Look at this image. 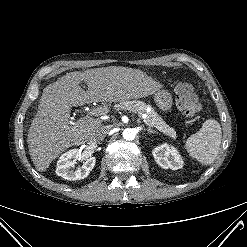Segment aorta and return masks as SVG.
Listing matches in <instances>:
<instances>
[{
    "instance_id": "1",
    "label": "aorta",
    "mask_w": 247,
    "mask_h": 247,
    "mask_svg": "<svg viewBox=\"0 0 247 247\" xmlns=\"http://www.w3.org/2000/svg\"><path fill=\"white\" fill-rule=\"evenodd\" d=\"M122 135L125 140L130 141V140H134L136 133L132 128H126L124 129Z\"/></svg>"
}]
</instances>
